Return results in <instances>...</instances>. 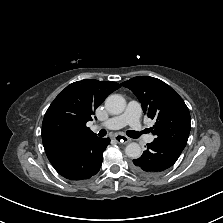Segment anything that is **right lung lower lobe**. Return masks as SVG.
Returning <instances> with one entry per match:
<instances>
[{"label":"right lung lower lobe","instance_id":"right-lung-lower-lobe-1","mask_svg":"<svg viewBox=\"0 0 223 223\" xmlns=\"http://www.w3.org/2000/svg\"><path fill=\"white\" fill-rule=\"evenodd\" d=\"M109 143V138L96 136L86 144L61 153L49 161L63 177L74 181L85 180L98 173L102 165L103 152Z\"/></svg>","mask_w":223,"mask_h":223}]
</instances>
